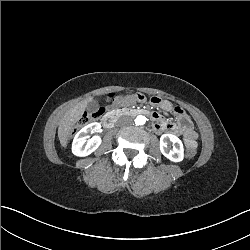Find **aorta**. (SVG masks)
Returning a JSON list of instances; mask_svg holds the SVG:
<instances>
[{"label":"aorta","mask_w":250,"mask_h":250,"mask_svg":"<svg viewBox=\"0 0 250 250\" xmlns=\"http://www.w3.org/2000/svg\"><path fill=\"white\" fill-rule=\"evenodd\" d=\"M145 122H146V117L143 116V115H139V116H137L136 119H135V123H136L137 125H143V124H145Z\"/></svg>","instance_id":"aorta-1"}]
</instances>
